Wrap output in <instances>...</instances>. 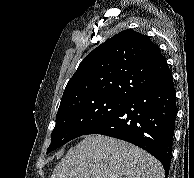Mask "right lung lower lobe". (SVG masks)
<instances>
[{
    "label": "right lung lower lobe",
    "mask_w": 194,
    "mask_h": 178,
    "mask_svg": "<svg viewBox=\"0 0 194 178\" xmlns=\"http://www.w3.org/2000/svg\"><path fill=\"white\" fill-rule=\"evenodd\" d=\"M177 111L171 78L133 95L84 135L102 134L139 146L163 164L167 176Z\"/></svg>",
    "instance_id": "right-lung-lower-lobe-1"
}]
</instances>
